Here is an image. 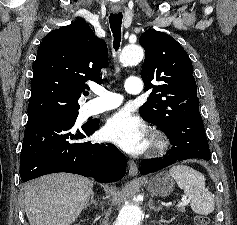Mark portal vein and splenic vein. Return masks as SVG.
Returning <instances> with one entry per match:
<instances>
[{
    "label": "portal vein and splenic vein",
    "mask_w": 237,
    "mask_h": 225,
    "mask_svg": "<svg viewBox=\"0 0 237 225\" xmlns=\"http://www.w3.org/2000/svg\"><path fill=\"white\" fill-rule=\"evenodd\" d=\"M189 203V199H187L186 197L182 198V201L178 203L177 207H184Z\"/></svg>",
    "instance_id": "1"
}]
</instances>
